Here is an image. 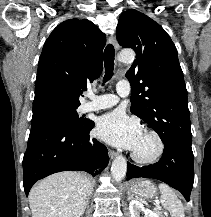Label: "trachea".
Returning <instances> with one entry per match:
<instances>
[{"label": "trachea", "mask_w": 211, "mask_h": 217, "mask_svg": "<svg viewBox=\"0 0 211 217\" xmlns=\"http://www.w3.org/2000/svg\"><path fill=\"white\" fill-rule=\"evenodd\" d=\"M115 50L112 44H108L104 51L105 76L103 83H106L113 76Z\"/></svg>", "instance_id": "obj_1"}]
</instances>
